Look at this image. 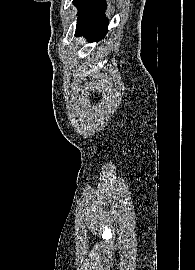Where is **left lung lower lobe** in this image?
<instances>
[{
    "mask_svg": "<svg viewBox=\"0 0 195 270\" xmlns=\"http://www.w3.org/2000/svg\"><path fill=\"white\" fill-rule=\"evenodd\" d=\"M105 0H84L77 19L75 36H86L89 42H98L107 34Z\"/></svg>",
    "mask_w": 195,
    "mask_h": 270,
    "instance_id": "0a47b994",
    "label": "left lung lower lobe"
}]
</instances>
